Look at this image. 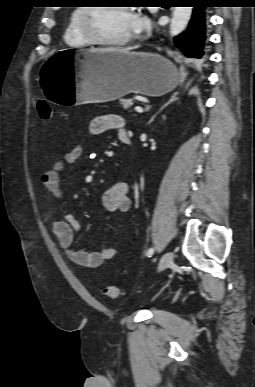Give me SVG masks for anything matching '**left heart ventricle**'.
<instances>
[{"label":"left heart ventricle","instance_id":"left-heart-ventricle-1","mask_svg":"<svg viewBox=\"0 0 255 387\" xmlns=\"http://www.w3.org/2000/svg\"><path fill=\"white\" fill-rule=\"evenodd\" d=\"M132 15L119 7H102L94 13L92 23L100 37L119 40L133 34Z\"/></svg>","mask_w":255,"mask_h":387}]
</instances>
